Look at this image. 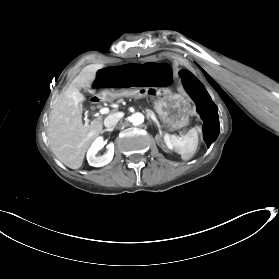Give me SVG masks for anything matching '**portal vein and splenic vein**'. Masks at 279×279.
<instances>
[{
	"mask_svg": "<svg viewBox=\"0 0 279 279\" xmlns=\"http://www.w3.org/2000/svg\"><path fill=\"white\" fill-rule=\"evenodd\" d=\"M105 113H108V108L103 107L99 109V114H105Z\"/></svg>",
	"mask_w": 279,
	"mask_h": 279,
	"instance_id": "1",
	"label": "portal vein and splenic vein"
}]
</instances>
